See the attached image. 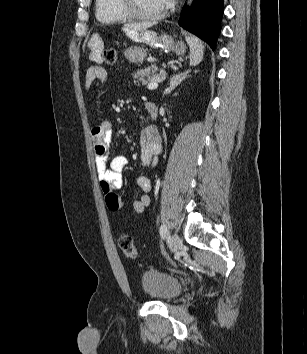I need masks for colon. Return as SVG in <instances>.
<instances>
[{"mask_svg": "<svg viewBox=\"0 0 307 354\" xmlns=\"http://www.w3.org/2000/svg\"><path fill=\"white\" fill-rule=\"evenodd\" d=\"M119 51L115 48L105 49L102 53L103 61L106 63H114L117 61ZM119 247L126 258L134 259L137 256V249L133 239L129 235H123L119 238Z\"/></svg>", "mask_w": 307, "mask_h": 354, "instance_id": "1", "label": "colon"}]
</instances>
